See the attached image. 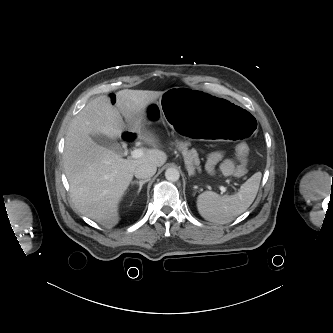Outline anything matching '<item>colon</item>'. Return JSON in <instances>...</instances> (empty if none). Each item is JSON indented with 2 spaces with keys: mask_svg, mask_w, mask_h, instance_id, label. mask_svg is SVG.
<instances>
[{
  "mask_svg": "<svg viewBox=\"0 0 333 333\" xmlns=\"http://www.w3.org/2000/svg\"><path fill=\"white\" fill-rule=\"evenodd\" d=\"M236 154L240 161V164L235 169V175L242 177L247 173V158L249 154V148L245 143H241L236 147Z\"/></svg>",
  "mask_w": 333,
  "mask_h": 333,
  "instance_id": "1",
  "label": "colon"
}]
</instances>
